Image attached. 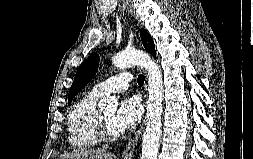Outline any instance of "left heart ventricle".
I'll use <instances>...</instances> for the list:
<instances>
[{
    "label": "left heart ventricle",
    "mask_w": 253,
    "mask_h": 159,
    "mask_svg": "<svg viewBox=\"0 0 253 159\" xmlns=\"http://www.w3.org/2000/svg\"><path fill=\"white\" fill-rule=\"evenodd\" d=\"M101 114H102L109 130L113 133H117L113 127V118L115 116V110L114 109L104 110V111H101Z\"/></svg>",
    "instance_id": "left-heart-ventricle-1"
}]
</instances>
